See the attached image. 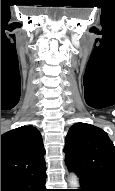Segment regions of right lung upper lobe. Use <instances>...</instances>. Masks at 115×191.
Returning a JSON list of instances; mask_svg holds the SVG:
<instances>
[{
	"mask_svg": "<svg viewBox=\"0 0 115 191\" xmlns=\"http://www.w3.org/2000/svg\"><path fill=\"white\" fill-rule=\"evenodd\" d=\"M44 146L40 132L33 126H21L1 135V180H19L46 171Z\"/></svg>",
	"mask_w": 115,
	"mask_h": 191,
	"instance_id": "obj_1",
	"label": "right lung upper lobe"
}]
</instances>
